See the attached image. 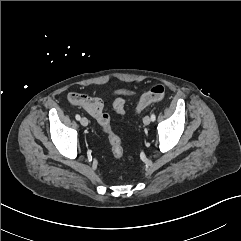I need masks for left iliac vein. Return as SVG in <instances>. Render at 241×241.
<instances>
[{"mask_svg":"<svg viewBox=\"0 0 241 241\" xmlns=\"http://www.w3.org/2000/svg\"><path fill=\"white\" fill-rule=\"evenodd\" d=\"M143 123H144V125H149L150 123H151V118L149 117V116H145L144 118H143Z\"/></svg>","mask_w":241,"mask_h":241,"instance_id":"obj_1","label":"left iliac vein"}]
</instances>
